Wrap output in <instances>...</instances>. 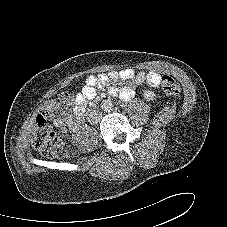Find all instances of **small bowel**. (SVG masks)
Segmentation results:
<instances>
[{"label":"small bowel","mask_w":227,"mask_h":227,"mask_svg":"<svg viewBox=\"0 0 227 227\" xmlns=\"http://www.w3.org/2000/svg\"><path fill=\"white\" fill-rule=\"evenodd\" d=\"M132 81V85L121 89L110 87L108 93L111 96L119 95L122 99H131L134 95L133 87L146 82L150 86H157L161 82V74L155 71L135 72L133 69H123L121 71H111L102 74H90L87 76L84 86L77 93L72 114L66 115L55 121L57 126H67L70 130L77 132L82 124V117L86 105L93 100L97 93V87H105L113 81Z\"/></svg>","instance_id":"c3829d8e"}]
</instances>
